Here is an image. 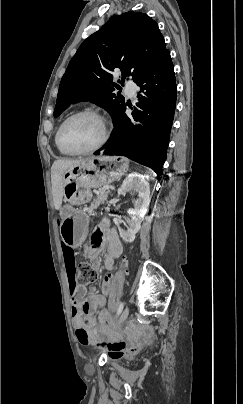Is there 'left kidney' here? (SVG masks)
Returning <instances> with one entry per match:
<instances>
[{
    "label": "left kidney",
    "instance_id": "obj_1",
    "mask_svg": "<svg viewBox=\"0 0 243 404\" xmlns=\"http://www.w3.org/2000/svg\"><path fill=\"white\" fill-rule=\"evenodd\" d=\"M131 190L138 192V198L135 200L134 210H128V214L131 218V220H127L129 228H127V230L120 228L119 224H121V220L119 216L113 220L114 224L118 226L122 240H124L126 244L134 242L135 234H137L138 230L141 228V222H143L144 216L148 212L150 202L149 182H147L145 176H142V174H137V172L129 174L121 188H119L118 194L119 196H125L126 192H131Z\"/></svg>",
    "mask_w": 243,
    "mask_h": 404
}]
</instances>
